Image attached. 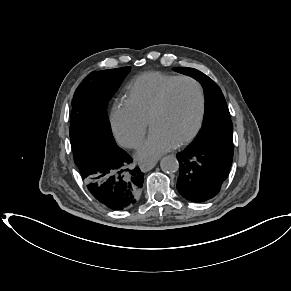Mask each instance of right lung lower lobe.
<instances>
[{"instance_id":"obj_1","label":"right lung lower lobe","mask_w":291,"mask_h":291,"mask_svg":"<svg viewBox=\"0 0 291 291\" xmlns=\"http://www.w3.org/2000/svg\"><path fill=\"white\" fill-rule=\"evenodd\" d=\"M76 165L90 193L107 208L126 210L138 201L144 173L131 166L130 156L121 148L97 152Z\"/></svg>"}]
</instances>
